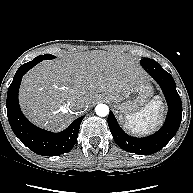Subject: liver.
<instances>
[{
    "label": "liver",
    "mask_w": 193,
    "mask_h": 193,
    "mask_svg": "<svg viewBox=\"0 0 193 193\" xmlns=\"http://www.w3.org/2000/svg\"><path fill=\"white\" fill-rule=\"evenodd\" d=\"M141 75L125 56L105 51L79 53L30 70L22 80L19 101L35 124L59 129L70 121L73 111L82 110L70 109L71 101L82 100L87 108L105 93L143 80Z\"/></svg>",
    "instance_id": "6515ba94"
}]
</instances>
